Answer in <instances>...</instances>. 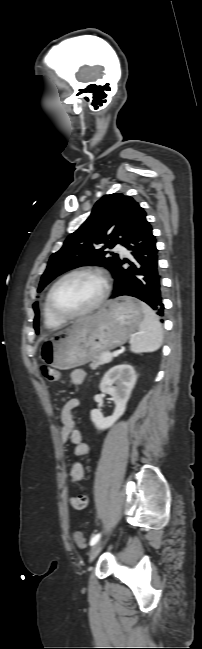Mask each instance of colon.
Returning <instances> with one entry per match:
<instances>
[{
  "label": "colon",
  "mask_w": 202,
  "mask_h": 649,
  "mask_svg": "<svg viewBox=\"0 0 202 649\" xmlns=\"http://www.w3.org/2000/svg\"><path fill=\"white\" fill-rule=\"evenodd\" d=\"M42 376L49 382H57L60 378L59 371L47 365H42L40 368ZM74 542L79 548L86 547V539L80 531H76L73 536Z\"/></svg>",
  "instance_id": "5ec220e1"
}]
</instances>
